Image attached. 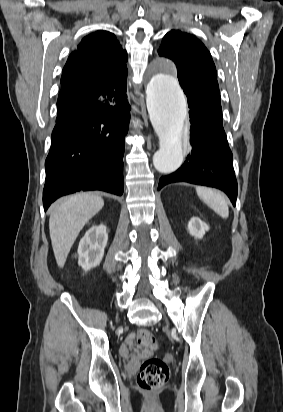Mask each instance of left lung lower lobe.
<instances>
[{
    "instance_id": "1",
    "label": "left lung lower lobe",
    "mask_w": 283,
    "mask_h": 412,
    "mask_svg": "<svg viewBox=\"0 0 283 412\" xmlns=\"http://www.w3.org/2000/svg\"><path fill=\"white\" fill-rule=\"evenodd\" d=\"M191 123V153L175 172L160 178L158 190L174 182L215 187L225 192L236 205L237 181L232 152L222 124V112L188 99Z\"/></svg>"
}]
</instances>
